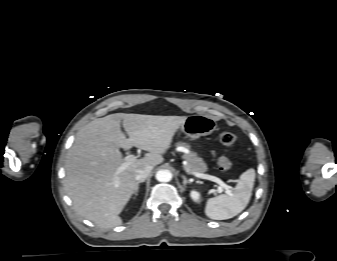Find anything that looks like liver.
Masks as SVG:
<instances>
[{"label": "liver", "instance_id": "liver-1", "mask_svg": "<svg viewBox=\"0 0 337 261\" xmlns=\"http://www.w3.org/2000/svg\"><path fill=\"white\" fill-rule=\"evenodd\" d=\"M186 116L115 113L98 118L77 133L65 161L64 187L76 212L100 228L122 224L119 214L135 192V171L164 160ZM123 124L129 138L121 131ZM149 153L118 172L120 148Z\"/></svg>", "mask_w": 337, "mask_h": 261}]
</instances>
